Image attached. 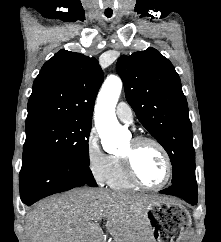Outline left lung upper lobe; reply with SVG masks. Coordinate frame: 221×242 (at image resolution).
<instances>
[{
  "mask_svg": "<svg viewBox=\"0 0 221 242\" xmlns=\"http://www.w3.org/2000/svg\"><path fill=\"white\" fill-rule=\"evenodd\" d=\"M125 96L139 121L168 153L172 183L195 173L187 100L171 62L154 48L118 59Z\"/></svg>",
  "mask_w": 221,
  "mask_h": 242,
  "instance_id": "5c2ea615",
  "label": "left lung upper lobe"
}]
</instances>
